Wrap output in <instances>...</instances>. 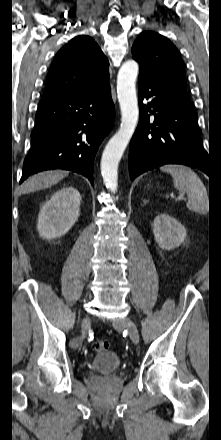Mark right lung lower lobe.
Returning <instances> with one entry per match:
<instances>
[{"label":"right lung lower lobe","mask_w":221,"mask_h":440,"mask_svg":"<svg viewBox=\"0 0 221 440\" xmlns=\"http://www.w3.org/2000/svg\"><path fill=\"white\" fill-rule=\"evenodd\" d=\"M114 116L110 85L97 92L42 99L20 183L44 170L66 169L84 175L93 185L95 155Z\"/></svg>","instance_id":"1"}]
</instances>
